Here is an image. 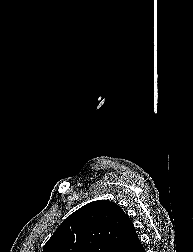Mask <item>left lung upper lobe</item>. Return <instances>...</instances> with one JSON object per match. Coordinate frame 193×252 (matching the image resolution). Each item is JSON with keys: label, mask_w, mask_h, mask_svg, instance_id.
I'll return each instance as SVG.
<instances>
[{"label": "left lung upper lobe", "mask_w": 193, "mask_h": 252, "mask_svg": "<svg viewBox=\"0 0 193 252\" xmlns=\"http://www.w3.org/2000/svg\"><path fill=\"white\" fill-rule=\"evenodd\" d=\"M134 233L133 223L121 207L97 200L66 218L43 252H122Z\"/></svg>", "instance_id": "obj_1"}]
</instances>
